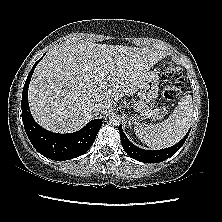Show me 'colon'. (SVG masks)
I'll return each mask as SVG.
<instances>
[{
    "mask_svg": "<svg viewBox=\"0 0 222 222\" xmlns=\"http://www.w3.org/2000/svg\"><path fill=\"white\" fill-rule=\"evenodd\" d=\"M162 85L163 96L168 100L175 99L183 90L181 69L171 62H167L162 75Z\"/></svg>",
    "mask_w": 222,
    "mask_h": 222,
    "instance_id": "obj_1",
    "label": "colon"
}]
</instances>
